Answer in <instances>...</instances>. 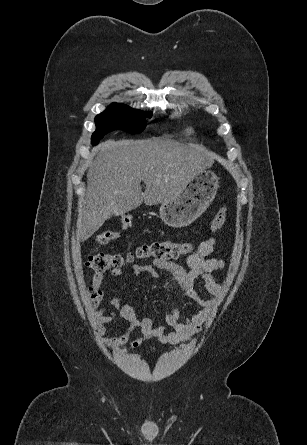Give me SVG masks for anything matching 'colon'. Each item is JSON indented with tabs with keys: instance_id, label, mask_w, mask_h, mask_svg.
<instances>
[{
	"instance_id": "5ec220e1",
	"label": "colon",
	"mask_w": 307,
	"mask_h": 445,
	"mask_svg": "<svg viewBox=\"0 0 307 445\" xmlns=\"http://www.w3.org/2000/svg\"><path fill=\"white\" fill-rule=\"evenodd\" d=\"M227 220V209L221 208L210 221V231L216 232L221 229ZM134 219L131 215L122 217L121 224L124 228L133 225ZM120 236L118 230H103L97 237L96 241L101 245H107L116 240ZM193 251V246L188 242H176L172 240H163L159 242L142 244L134 252L122 253H104L98 252L90 254L86 260V266L96 273H104L108 270L121 268L135 260L145 261L147 259H176L180 256L188 255ZM92 298L96 297V291L90 288Z\"/></svg>"
}]
</instances>
